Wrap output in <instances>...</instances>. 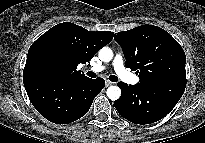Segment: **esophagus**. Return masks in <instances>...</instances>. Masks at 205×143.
<instances>
[{"label":"esophagus","instance_id":"1","mask_svg":"<svg viewBox=\"0 0 205 143\" xmlns=\"http://www.w3.org/2000/svg\"><path fill=\"white\" fill-rule=\"evenodd\" d=\"M106 86H111L113 84V82L109 81V80H106Z\"/></svg>","mask_w":205,"mask_h":143}]
</instances>
